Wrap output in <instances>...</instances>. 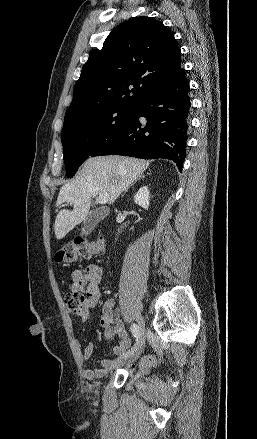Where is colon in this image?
Returning <instances> with one entry per match:
<instances>
[{
    "label": "colon",
    "mask_w": 257,
    "mask_h": 439,
    "mask_svg": "<svg viewBox=\"0 0 257 439\" xmlns=\"http://www.w3.org/2000/svg\"><path fill=\"white\" fill-rule=\"evenodd\" d=\"M104 251V244L101 238L96 242L88 240H78L73 244L64 246L57 254L56 260L58 262L71 263L80 258H91ZM85 295L80 291H70L64 296V303L67 309L73 313H80L84 309ZM156 362L154 357H147L140 365L142 370H147L150 365ZM136 366L133 364L129 370L134 371Z\"/></svg>",
    "instance_id": "colon-1"
}]
</instances>
